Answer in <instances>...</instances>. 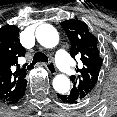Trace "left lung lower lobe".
I'll list each match as a JSON object with an SVG mask.
<instances>
[{"instance_id":"0a47b994","label":"left lung lower lobe","mask_w":117,"mask_h":117,"mask_svg":"<svg viewBox=\"0 0 117 117\" xmlns=\"http://www.w3.org/2000/svg\"><path fill=\"white\" fill-rule=\"evenodd\" d=\"M58 97L60 98L61 101H63L64 103H77L80 100L78 98L75 97V95L73 94H66V95H60L58 94Z\"/></svg>"}]
</instances>
